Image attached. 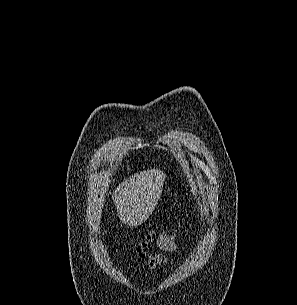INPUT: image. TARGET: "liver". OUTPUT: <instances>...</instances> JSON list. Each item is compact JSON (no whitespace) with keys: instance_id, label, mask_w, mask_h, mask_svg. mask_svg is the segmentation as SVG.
<instances>
[{"instance_id":"liver-1","label":"liver","mask_w":297,"mask_h":305,"mask_svg":"<svg viewBox=\"0 0 297 305\" xmlns=\"http://www.w3.org/2000/svg\"><path fill=\"white\" fill-rule=\"evenodd\" d=\"M164 180L165 174L154 168L120 183L112 195L120 220L132 227L145 222L161 197Z\"/></svg>"}]
</instances>
